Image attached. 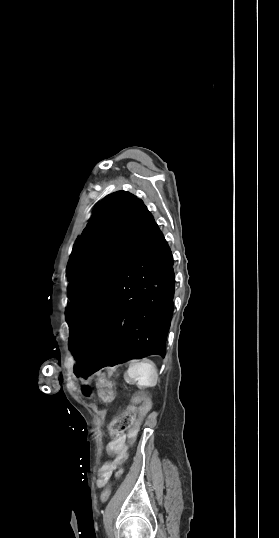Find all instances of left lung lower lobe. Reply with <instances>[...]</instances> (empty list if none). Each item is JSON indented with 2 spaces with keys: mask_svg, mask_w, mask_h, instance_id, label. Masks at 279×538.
<instances>
[{
  "mask_svg": "<svg viewBox=\"0 0 279 538\" xmlns=\"http://www.w3.org/2000/svg\"><path fill=\"white\" fill-rule=\"evenodd\" d=\"M171 250L156 223L116 279L70 331L74 373L86 378L132 355L165 356L173 313Z\"/></svg>",
  "mask_w": 279,
  "mask_h": 538,
  "instance_id": "0a47b994",
  "label": "left lung lower lobe"
}]
</instances>
